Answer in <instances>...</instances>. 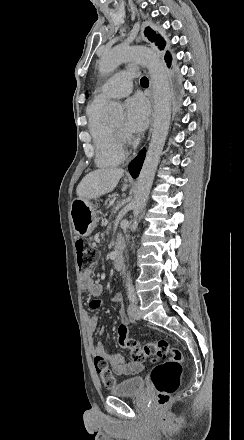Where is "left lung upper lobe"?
<instances>
[{
  "mask_svg": "<svg viewBox=\"0 0 244 440\" xmlns=\"http://www.w3.org/2000/svg\"><path fill=\"white\" fill-rule=\"evenodd\" d=\"M144 33L145 36H147L150 41L152 42L156 41V45H158L160 49H164L165 41L160 36L155 35L154 31H152L149 27H147ZM165 60L167 63L171 62V55L170 54L165 55Z\"/></svg>",
  "mask_w": 244,
  "mask_h": 440,
  "instance_id": "5c2ea615",
  "label": "left lung upper lobe"
}]
</instances>
